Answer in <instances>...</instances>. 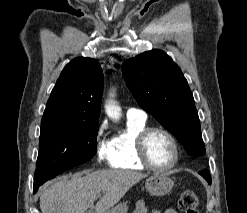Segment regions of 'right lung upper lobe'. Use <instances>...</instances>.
Listing matches in <instances>:
<instances>
[{
  "instance_id": "cb5924a9",
  "label": "right lung upper lobe",
  "mask_w": 247,
  "mask_h": 213,
  "mask_svg": "<svg viewBox=\"0 0 247 213\" xmlns=\"http://www.w3.org/2000/svg\"><path fill=\"white\" fill-rule=\"evenodd\" d=\"M103 81L102 69L95 59H73L51 92L41 124L99 125Z\"/></svg>"
}]
</instances>
